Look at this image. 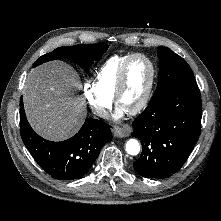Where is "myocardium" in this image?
I'll return each mask as SVG.
<instances>
[{
	"label": "myocardium",
	"instance_id": "myocardium-1",
	"mask_svg": "<svg viewBox=\"0 0 221 221\" xmlns=\"http://www.w3.org/2000/svg\"><path fill=\"white\" fill-rule=\"evenodd\" d=\"M136 58H143L144 60H146L148 62V64L150 65V68H151V76H150V81H149L148 87L146 89V92H145L143 98L141 99V101L138 103V105L136 107H134L132 110L127 112L129 115L139 114L148 105L150 98L152 96V92L154 89L155 80H156V76H157L156 66L150 57H148L147 55L142 54V53L132 54L125 61V63L123 64V66L121 68V71L119 73L116 89H115L114 96H113V100H114L115 105L118 106L119 99L125 89V86H126L127 73H128L129 66L132 63V61Z\"/></svg>",
	"mask_w": 221,
	"mask_h": 221
}]
</instances>
